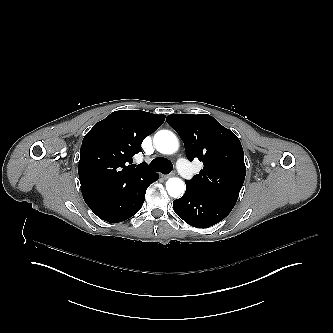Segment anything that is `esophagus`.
Listing matches in <instances>:
<instances>
[{
	"label": "esophagus",
	"instance_id": "1",
	"mask_svg": "<svg viewBox=\"0 0 333 333\" xmlns=\"http://www.w3.org/2000/svg\"><path fill=\"white\" fill-rule=\"evenodd\" d=\"M172 176V174H168V175H161V177L163 178V179H168L169 177H171Z\"/></svg>",
	"mask_w": 333,
	"mask_h": 333
}]
</instances>
